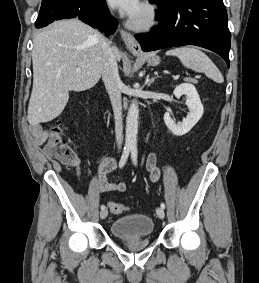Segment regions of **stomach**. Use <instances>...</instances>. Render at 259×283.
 Listing matches in <instances>:
<instances>
[{
	"mask_svg": "<svg viewBox=\"0 0 259 283\" xmlns=\"http://www.w3.org/2000/svg\"><path fill=\"white\" fill-rule=\"evenodd\" d=\"M146 59L148 64L151 66H157L160 64V58L156 55H148Z\"/></svg>",
	"mask_w": 259,
	"mask_h": 283,
	"instance_id": "0dacf381",
	"label": "stomach"
}]
</instances>
